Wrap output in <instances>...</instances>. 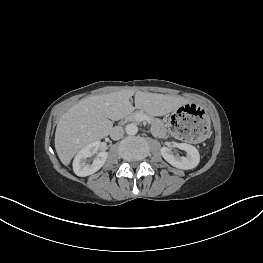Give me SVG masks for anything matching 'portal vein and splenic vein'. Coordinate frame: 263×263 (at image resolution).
<instances>
[{"label":"portal vein and splenic vein","instance_id":"1","mask_svg":"<svg viewBox=\"0 0 263 263\" xmlns=\"http://www.w3.org/2000/svg\"><path fill=\"white\" fill-rule=\"evenodd\" d=\"M137 120L138 121H148V122H151L150 118L144 114H137L136 116Z\"/></svg>","mask_w":263,"mask_h":263}]
</instances>
